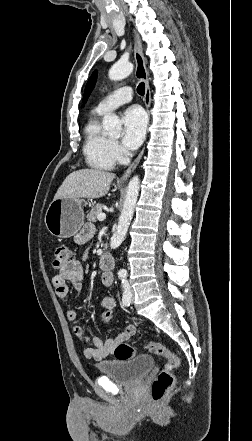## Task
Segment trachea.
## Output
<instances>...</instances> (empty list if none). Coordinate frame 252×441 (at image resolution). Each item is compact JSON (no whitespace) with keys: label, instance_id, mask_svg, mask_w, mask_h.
I'll use <instances>...</instances> for the list:
<instances>
[{"label":"trachea","instance_id":"obj_1","mask_svg":"<svg viewBox=\"0 0 252 441\" xmlns=\"http://www.w3.org/2000/svg\"><path fill=\"white\" fill-rule=\"evenodd\" d=\"M137 92L141 96L145 94V84L143 82L138 85Z\"/></svg>","mask_w":252,"mask_h":441}]
</instances>
